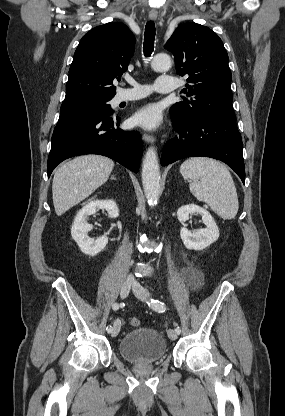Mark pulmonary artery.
I'll return each mask as SVG.
<instances>
[{"label": "pulmonary artery", "mask_w": 285, "mask_h": 416, "mask_svg": "<svg viewBox=\"0 0 285 416\" xmlns=\"http://www.w3.org/2000/svg\"><path fill=\"white\" fill-rule=\"evenodd\" d=\"M181 81L178 79H175L172 76H168V75H161L157 78L156 83H155V88L157 89L158 92L160 93H167L170 92L176 88H178L180 86ZM129 84L133 87H138L140 86V84H138L136 81L134 80H130ZM136 93V94H134ZM140 93V94H139ZM155 94L156 90L155 89H132V88H122L120 91L117 92V94L115 95V97L112 100V105L113 106H117L119 105L121 102H128V101H133L136 99H140L146 95H141V94Z\"/></svg>", "instance_id": "obj_1"}]
</instances>
